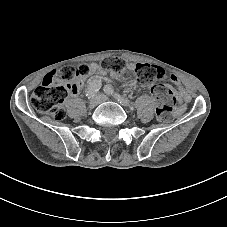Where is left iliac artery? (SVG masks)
<instances>
[{
  "label": "left iliac artery",
  "mask_w": 227,
  "mask_h": 227,
  "mask_svg": "<svg viewBox=\"0 0 227 227\" xmlns=\"http://www.w3.org/2000/svg\"><path fill=\"white\" fill-rule=\"evenodd\" d=\"M103 90L106 94L114 96L118 101L123 100L124 104L126 106H129L131 111L134 110V107L132 105L131 106L129 105V100L127 99L125 100L119 93L115 92L111 85H105Z\"/></svg>",
  "instance_id": "1"
}]
</instances>
